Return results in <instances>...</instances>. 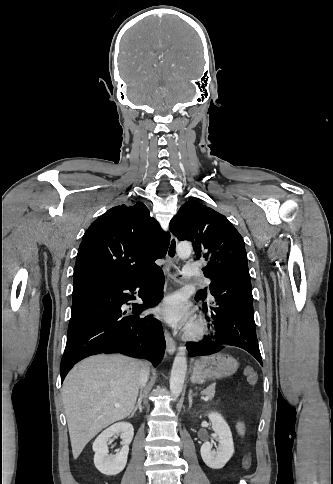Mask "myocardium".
Segmentation results:
<instances>
[{"instance_id": "obj_1", "label": "myocardium", "mask_w": 333, "mask_h": 484, "mask_svg": "<svg viewBox=\"0 0 333 484\" xmlns=\"http://www.w3.org/2000/svg\"><path fill=\"white\" fill-rule=\"evenodd\" d=\"M208 333V324L202 319L198 318L194 320L189 326L186 332V338L191 341L201 340Z\"/></svg>"}]
</instances>
